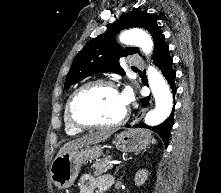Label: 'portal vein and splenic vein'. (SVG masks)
Returning <instances> with one entry per match:
<instances>
[{"label": "portal vein and splenic vein", "mask_w": 221, "mask_h": 193, "mask_svg": "<svg viewBox=\"0 0 221 193\" xmlns=\"http://www.w3.org/2000/svg\"><path fill=\"white\" fill-rule=\"evenodd\" d=\"M113 166H114L113 163L110 162V163L108 164V169H112Z\"/></svg>", "instance_id": "portal-vein-and-splenic-vein-1"}]
</instances>
